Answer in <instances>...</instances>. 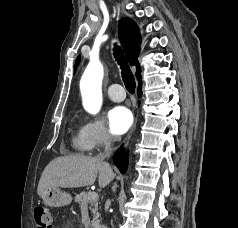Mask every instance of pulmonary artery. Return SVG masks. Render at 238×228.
Wrapping results in <instances>:
<instances>
[{
	"instance_id": "pulmonary-artery-1",
	"label": "pulmonary artery",
	"mask_w": 238,
	"mask_h": 228,
	"mask_svg": "<svg viewBox=\"0 0 238 228\" xmlns=\"http://www.w3.org/2000/svg\"><path fill=\"white\" fill-rule=\"evenodd\" d=\"M107 94L109 98L113 101L120 102L126 97L123 87L119 84H112L107 89Z\"/></svg>"
}]
</instances>
